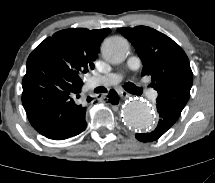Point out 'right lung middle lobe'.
<instances>
[{
  "label": "right lung middle lobe",
  "mask_w": 215,
  "mask_h": 183,
  "mask_svg": "<svg viewBox=\"0 0 215 183\" xmlns=\"http://www.w3.org/2000/svg\"><path fill=\"white\" fill-rule=\"evenodd\" d=\"M64 59L66 61L64 69L68 75L77 82H83L81 76L92 68L87 66L80 55L68 53L64 55Z\"/></svg>",
  "instance_id": "dd1d6c3e"
}]
</instances>
